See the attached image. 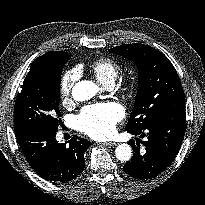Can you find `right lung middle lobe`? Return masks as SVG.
<instances>
[{
    "label": "right lung middle lobe",
    "instance_id": "dd1d6c3e",
    "mask_svg": "<svg viewBox=\"0 0 205 205\" xmlns=\"http://www.w3.org/2000/svg\"><path fill=\"white\" fill-rule=\"evenodd\" d=\"M68 59L27 74L15 102V131L28 128L58 131L61 72Z\"/></svg>",
    "mask_w": 205,
    "mask_h": 205
}]
</instances>
